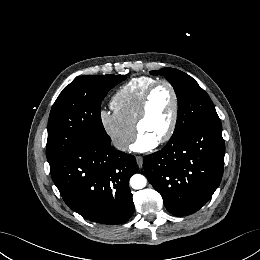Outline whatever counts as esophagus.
<instances>
[{
	"mask_svg": "<svg viewBox=\"0 0 260 260\" xmlns=\"http://www.w3.org/2000/svg\"><path fill=\"white\" fill-rule=\"evenodd\" d=\"M136 162H137V164H138V167H139V168H142V166H143V157H141V156H136Z\"/></svg>",
	"mask_w": 260,
	"mask_h": 260,
	"instance_id": "34e87169",
	"label": "esophagus"
}]
</instances>
